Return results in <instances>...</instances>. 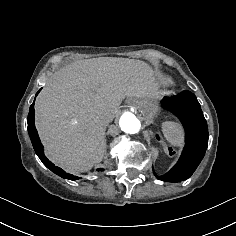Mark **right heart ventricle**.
Returning a JSON list of instances; mask_svg holds the SVG:
<instances>
[{
    "label": "right heart ventricle",
    "instance_id": "right-heart-ventricle-1",
    "mask_svg": "<svg viewBox=\"0 0 236 236\" xmlns=\"http://www.w3.org/2000/svg\"><path fill=\"white\" fill-rule=\"evenodd\" d=\"M162 84H163L164 86H169V85L172 84V81H171L169 78H164V79L162 80Z\"/></svg>",
    "mask_w": 236,
    "mask_h": 236
}]
</instances>
